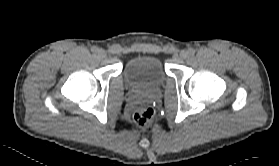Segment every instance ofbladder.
Returning a JSON list of instances; mask_svg holds the SVG:
<instances>
[{
  "instance_id": "bladder-1",
  "label": "bladder",
  "mask_w": 279,
  "mask_h": 166,
  "mask_svg": "<svg viewBox=\"0 0 279 166\" xmlns=\"http://www.w3.org/2000/svg\"><path fill=\"white\" fill-rule=\"evenodd\" d=\"M122 73L127 84L139 92H155L166 80L161 61L153 56H138L128 60Z\"/></svg>"
}]
</instances>
